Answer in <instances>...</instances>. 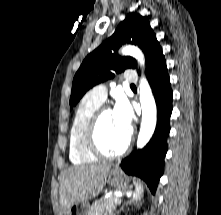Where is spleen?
Instances as JSON below:
<instances>
[{
	"mask_svg": "<svg viewBox=\"0 0 221 215\" xmlns=\"http://www.w3.org/2000/svg\"><path fill=\"white\" fill-rule=\"evenodd\" d=\"M133 183L135 185V191L133 193V199L140 200V198L142 197L143 192H144L143 185L138 181H133Z\"/></svg>",
	"mask_w": 221,
	"mask_h": 215,
	"instance_id": "3e777b00",
	"label": "spleen"
}]
</instances>
